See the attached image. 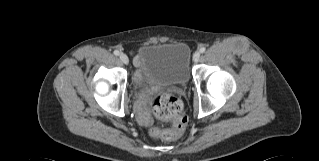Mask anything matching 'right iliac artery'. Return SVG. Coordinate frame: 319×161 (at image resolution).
<instances>
[{"mask_svg":"<svg viewBox=\"0 0 319 161\" xmlns=\"http://www.w3.org/2000/svg\"><path fill=\"white\" fill-rule=\"evenodd\" d=\"M114 55H116V56H118L120 53H119V51H117V50H115L114 52Z\"/></svg>","mask_w":319,"mask_h":161,"instance_id":"82829eb1","label":"right iliac artery"}]
</instances>
